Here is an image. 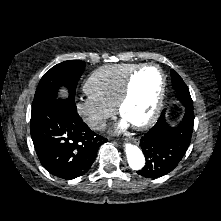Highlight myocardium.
<instances>
[{"instance_id": "obj_1", "label": "myocardium", "mask_w": 221, "mask_h": 221, "mask_svg": "<svg viewBox=\"0 0 221 221\" xmlns=\"http://www.w3.org/2000/svg\"><path fill=\"white\" fill-rule=\"evenodd\" d=\"M146 68H156L158 70V72L161 75V88H160V91H159V94H158V97H157V100H156V103H155V106L151 115L144 122L133 125L134 128L138 130H144L152 126L157 121V119L159 118L161 114L164 99H165V94H166V88H167V77L162 67L156 63H146V64L140 65L135 70H133L130 73V75L127 77L122 93L115 106L116 112L120 116H122V109L126 105L128 100L130 99L131 94H132V85H133L134 78L136 77L138 73H140L142 70Z\"/></svg>"}]
</instances>
